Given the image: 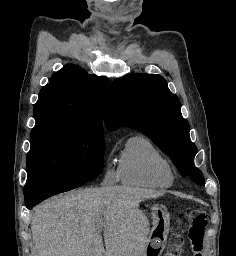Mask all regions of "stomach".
<instances>
[{
	"instance_id": "stomach-1",
	"label": "stomach",
	"mask_w": 236,
	"mask_h": 256,
	"mask_svg": "<svg viewBox=\"0 0 236 256\" xmlns=\"http://www.w3.org/2000/svg\"><path fill=\"white\" fill-rule=\"evenodd\" d=\"M151 215L153 228L145 252L141 256H160L169 233L170 216L167 209L162 205H154Z\"/></svg>"
}]
</instances>
